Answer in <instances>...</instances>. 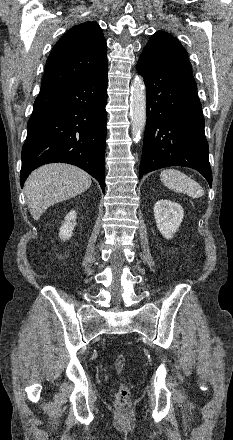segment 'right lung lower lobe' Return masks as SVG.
Returning <instances> with one entry per match:
<instances>
[{"label": "right lung lower lobe", "mask_w": 233, "mask_h": 440, "mask_svg": "<svg viewBox=\"0 0 233 440\" xmlns=\"http://www.w3.org/2000/svg\"><path fill=\"white\" fill-rule=\"evenodd\" d=\"M107 70L69 86L42 89L28 121L20 184L37 167L54 162L78 166L105 191Z\"/></svg>", "instance_id": "right-lung-lower-lobe-1"}]
</instances>
